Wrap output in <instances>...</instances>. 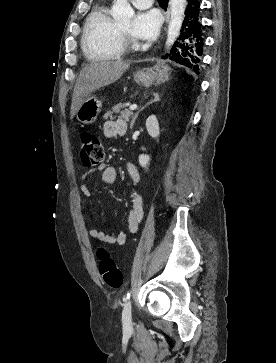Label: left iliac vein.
<instances>
[{
    "label": "left iliac vein",
    "instance_id": "left-iliac-vein-1",
    "mask_svg": "<svg viewBox=\"0 0 276 363\" xmlns=\"http://www.w3.org/2000/svg\"><path fill=\"white\" fill-rule=\"evenodd\" d=\"M122 319L124 324L129 323L131 321V302L127 301L124 305Z\"/></svg>",
    "mask_w": 276,
    "mask_h": 363
}]
</instances>
